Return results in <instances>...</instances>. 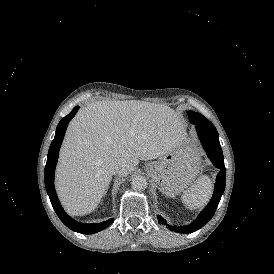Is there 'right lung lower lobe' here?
I'll return each instance as SVG.
<instances>
[{
	"label": "right lung lower lobe",
	"instance_id": "obj_1",
	"mask_svg": "<svg viewBox=\"0 0 274 274\" xmlns=\"http://www.w3.org/2000/svg\"><path fill=\"white\" fill-rule=\"evenodd\" d=\"M79 106H76L70 114H68L66 117L62 118L59 122L56 133L53 142L50 145L49 151H48V157H47V164L45 167V186L47 193L49 195L51 204L60 218V220L71 230L82 233V234H93L96 232H99L106 227H108L114 219H109L102 223L97 224H83L80 222H77L73 220L71 217H69L65 211L62 209L59 200L57 198L55 189H54V171L55 166L58 159V153L59 149L68 125V122L75 116L76 112L78 111Z\"/></svg>",
	"mask_w": 274,
	"mask_h": 274
}]
</instances>
